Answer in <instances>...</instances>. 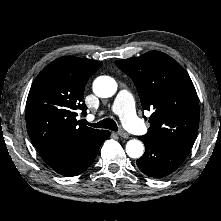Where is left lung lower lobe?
<instances>
[{"label": "left lung lower lobe", "mask_w": 221, "mask_h": 221, "mask_svg": "<svg viewBox=\"0 0 221 221\" xmlns=\"http://www.w3.org/2000/svg\"><path fill=\"white\" fill-rule=\"evenodd\" d=\"M145 144L144 155L137 160L139 169L149 177L162 178L175 171L190 149L159 139L139 136Z\"/></svg>", "instance_id": "1"}]
</instances>
